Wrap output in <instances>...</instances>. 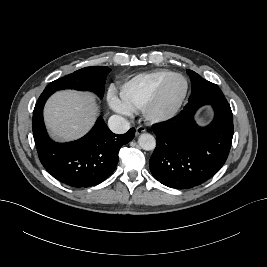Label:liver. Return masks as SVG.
Returning <instances> with one entry per match:
<instances>
[{
	"label": "liver",
	"mask_w": 267,
	"mask_h": 267,
	"mask_svg": "<svg viewBox=\"0 0 267 267\" xmlns=\"http://www.w3.org/2000/svg\"><path fill=\"white\" fill-rule=\"evenodd\" d=\"M98 106L94 95L72 90L58 91L47 101L44 120L51 135L62 141L76 140L94 125Z\"/></svg>",
	"instance_id": "6515ba94"
}]
</instances>
